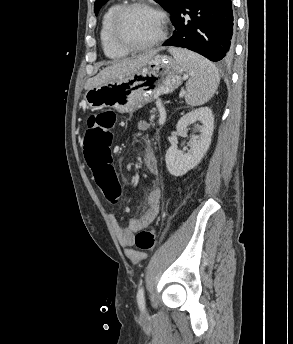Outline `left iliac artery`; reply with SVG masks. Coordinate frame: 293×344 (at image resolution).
I'll return each mask as SVG.
<instances>
[{"label": "left iliac artery", "instance_id": "left-iliac-artery-1", "mask_svg": "<svg viewBox=\"0 0 293 344\" xmlns=\"http://www.w3.org/2000/svg\"><path fill=\"white\" fill-rule=\"evenodd\" d=\"M137 301L139 308L143 311L145 308V300H144V288L143 286L139 288L137 292Z\"/></svg>", "mask_w": 293, "mask_h": 344}]
</instances>
